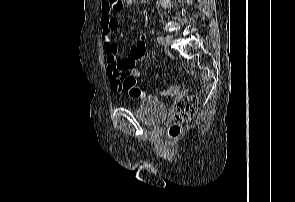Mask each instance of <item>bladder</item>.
Returning a JSON list of instances; mask_svg holds the SVG:
<instances>
[{
  "label": "bladder",
  "mask_w": 295,
  "mask_h": 202,
  "mask_svg": "<svg viewBox=\"0 0 295 202\" xmlns=\"http://www.w3.org/2000/svg\"><path fill=\"white\" fill-rule=\"evenodd\" d=\"M136 117L147 125H157L167 116L166 104L154 96H145L135 110Z\"/></svg>",
  "instance_id": "obj_1"
}]
</instances>
